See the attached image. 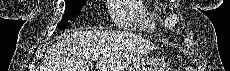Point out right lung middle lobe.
Wrapping results in <instances>:
<instances>
[{
	"label": "right lung middle lobe",
	"mask_w": 230,
	"mask_h": 71,
	"mask_svg": "<svg viewBox=\"0 0 230 71\" xmlns=\"http://www.w3.org/2000/svg\"><path fill=\"white\" fill-rule=\"evenodd\" d=\"M65 4L63 19L57 25L60 30L70 24L69 20L76 18L80 14L82 7L86 4V0H65Z\"/></svg>",
	"instance_id": "1"
}]
</instances>
